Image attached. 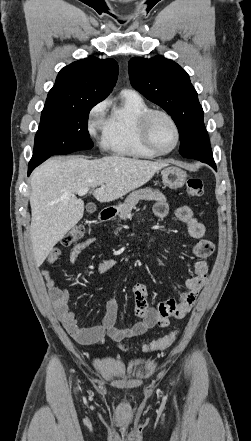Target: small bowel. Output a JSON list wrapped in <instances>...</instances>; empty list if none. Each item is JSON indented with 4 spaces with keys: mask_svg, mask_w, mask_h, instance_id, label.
I'll list each match as a JSON object with an SVG mask.
<instances>
[{
    "mask_svg": "<svg viewBox=\"0 0 251 441\" xmlns=\"http://www.w3.org/2000/svg\"><path fill=\"white\" fill-rule=\"evenodd\" d=\"M168 205L159 200L154 205V214L164 218L168 214ZM175 217L184 223L189 235L197 242L192 247V254L198 258L193 266V275L184 282L185 291L179 300L168 299L160 302L156 307L148 305L146 288L141 283L132 286V294L135 302V310L141 319L133 326L121 328L117 326L119 304L112 296L103 293L106 299V312L100 325L82 327L78 324L74 312L69 307V292L50 276L49 270L44 267L40 270V276L44 281L49 297L56 313L69 335L83 345L101 344L105 340L122 341L126 338H134L143 335L147 330L154 327L165 328L170 323V318L182 319L192 309L198 293L205 285L208 277L209 263L207 258L214 251V243L205 239V226L200 222L189 206H181L174 210ZM95 238H88L75 245L70 252L69 261L75 263L79 255L95 243ZM60 256L58 248L52 249L46 259V264L55 263ZM118 265L113 258L102 259L97 267V274H104Z\"/></svg>",
    "mask_w": 251,
    "mask_h": 441,
    "instance_id": "1",
    "label": "small bowel"
}]
</instances>
